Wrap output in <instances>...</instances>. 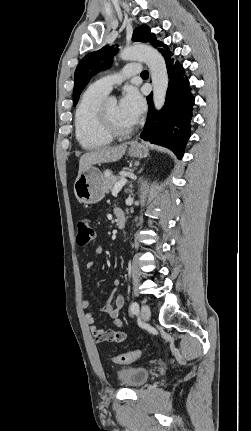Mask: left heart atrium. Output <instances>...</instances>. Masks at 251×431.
I'll use <instances>...</instances> for the list:
<instances>
[{"label": "left heart atrium", "instance_id": "left-heart-atrium-1", "mask_svg": "<svg viewBox=\"0 0 251 431\" xmlns=\"http://www.w3.org/2000/svg\"><path fill=\"white\" fill-rule=\"evenodd\" d=\"M119 108L125 118L133 125L140 119L145 109V102L139 91L130 86L124 90Z\"/></svg>", "mask_w": 251, "mask_h": 431}]
</instances>
